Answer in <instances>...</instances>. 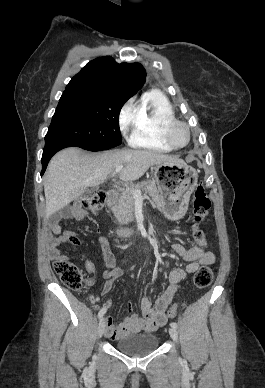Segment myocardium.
Segmentation results:
<instances>
[{
  "label": "myocardium",
  "instance_id": "obj_1",
  "mask_svg": "<svg viewBox=\"0 0 265 388\" xmlns=\"http://www.w3.org/2000/svg\"><path fill=\"white\" fill-rule=\"evenodd\" d=\"M161 98H164V96H162ZM176 127H180L182 129H186L187 130V127L186 125L182 122V121H179V120H176L174 118L170 119L167 123H166V126H165V130H164V134H165V137L167 139V141L169 142V144L172 146V147H182V146H179L175 140H174V137H173V132H174V129Z\"/></svg>",
  "mask_w": 265,
  "mask_h": 388
}]
</instances>
